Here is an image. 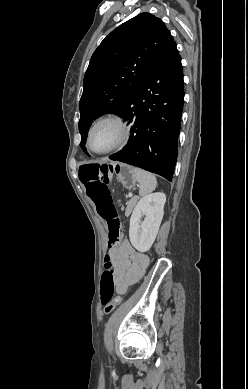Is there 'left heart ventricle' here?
<instances>
[{
	"instance_id": "left-heart-ventricle-1",
	"label": "left heart ventricle",
	"mask_w": 248,
	"mask_h": 389,
	"mask_svg": "<svg viewBox=\"0 0 248 389\" xmlns=\"http://www.w3.org/2000/svg\"><path fill=\"white\" fill-rule=\"evenodd\" d=\"M116 136L117 131L112 124H103L94 133L93 147L95 149H104L115 140Z\"/></svg>"
}]
</instances>
